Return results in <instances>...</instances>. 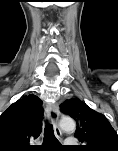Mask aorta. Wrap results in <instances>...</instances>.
<instances>
[{
  "label": "aorta",
  "instance_id": "aorta-1",
  "mask_svg": "<svg viewBox=\"0 0 118 151\" xmlns=\"http://www.w3.org/2000/svg\"><path fill=\"white\" fill-rule=\"evenodd\" d=\"M60 129L66 132H73L76 128L75 121L70 117H64L59 122Z\"/></svg>",
  "mask_w": 118,
  "mask_h": 151
}]
</instances>
